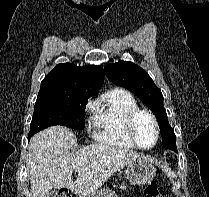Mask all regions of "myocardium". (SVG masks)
I'll return each mask as SVG.
<instances>
[{"label":"myocardium","instance_id":"1","mask_svg":"<svg viewBox=\"0 0 209 197\" xmlns=\"http://www.w3.org/2000/svg\"><path fill=\"white\" fill-rule=\"evenodd\" d=\"M142 114L148 116L151 119L154 129H155V141L149 147H144V146L140 145L137 138H136V134H135V125H136L137 118ZM127 133H128V137H129L130 141L133 143V145L135 147H137L139 149H143V150L153 149L157 145L159 138H160L159 124H158V121H157L155 115L151 111L144 109V108H139V107L134 109L133 111H131L128 116Z\"/></svg>","mask_w":209,"mask_h":197}]
</instances>
